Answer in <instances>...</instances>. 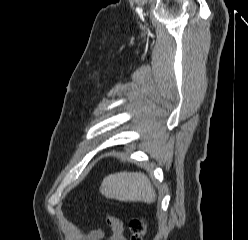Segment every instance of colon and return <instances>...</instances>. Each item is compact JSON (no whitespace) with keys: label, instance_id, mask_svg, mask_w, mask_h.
<instances>
[{"label":"colon","instance_id":"colon-1","mask_svg":"<svg viewBox=\"0 0 248 240\" xmlns=\"http://www.w3.org/2000/svg\"><path fill=\"white\" fill-rule=\"evenodd\" d=\"M131 240H143L147 233V224L142 219H134L130 223Z\"/></svg>","mask_w":248,"mask_h":240}]
</instances>
